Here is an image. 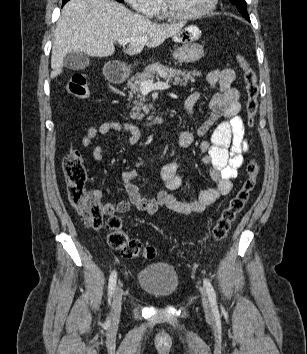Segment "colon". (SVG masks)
<instances>
[{
    "instance_id": "colon-1",
    "label": "colon",
    "mask_w": 307,
    "mask_h": 354,
    "mask_svg": "<svg viewBox=\"0 0 307 354\" xmlns=\"http://www.w3.org/2000/svg\"><path fill=\"white\" fill-rule=\"evenodd\" d=\"M238 62L243 70V79L246 91L245 110L248 123L252 126L258 109L259 88L255 71L242 57ZM68 92L79 99L89 96L87 79L83 74H74L67 85ZM63 173L67 182L68 197L75 211L81 215L89 227L100 228L103 225L108 230L107 243L109 247L120 252L125 258L143 257L152 259L156 250L151 245H142L138 240L130 238L122 229L121 219L108 213L105 204L92 197L86 189L87 172L83 158L78 150H71L63 159ZM259 166L256 160H250L246 168V177L237 191L217 219L212 238L216 242L226 239L237 214L242 211L251 192L256 185ZM109 217L105 220V216Z\"/></svg>"
}]
</instances>
